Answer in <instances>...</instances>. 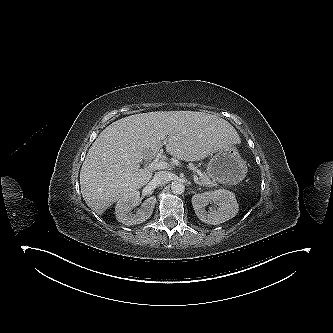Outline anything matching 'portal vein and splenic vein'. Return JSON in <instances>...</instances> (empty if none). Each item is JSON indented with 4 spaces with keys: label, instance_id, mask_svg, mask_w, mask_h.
<instances>
[{
    "label": "portal vein and splenic vein",
    "instance_id": "obj_1",
    "mask_svg": "<svg viewBox=\"0 0 333 333\" xmlns=\"http://www.w3.org/2000/svg\"><path fill=\"white\" fill-rule=\"evenodd\" d=\"M167 166H168V163H167V162H165V161H158V160H154V161L149 165V167H150L151 169H156V170H158V169H165V168H167ZM194 182H195L196 184H199V180H198V177H197L196 175H194Z\"/></svg>",
    "mask_w": 333,
    "mask_h": 333
}]
</instances>
